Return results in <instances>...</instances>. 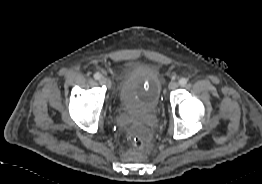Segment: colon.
Instances as JSON below:
<instances>
[{"label": "colon", "mask_w": 262, "mask_h": 184, "mask_svg": "<svg viewBox=\"0 0 262 184\" xmlns=\"http://www.w3.org/2000/svg\"><path fill=\"white\" fill-rule=\"evenodd\" d=\"M145 139L141 136H136L133 138V144L137 148H142L145 145Z\"/></svg>", "instance_id": "colon-1"}]
</instances>
